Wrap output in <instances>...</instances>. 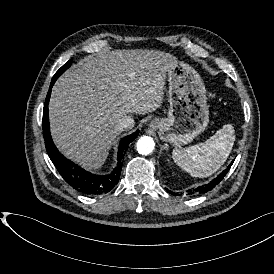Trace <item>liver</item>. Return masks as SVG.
I'll use <instances>...</instances> for the list:
<instances>
[{
	"mask_svg": "<svg viewBox=\"0 0 274 274\" xmlns=\"http://www.w3.org/2000/svg\"><path fill=\"white\" fill-rule=\"evenodd\" d=\"M176 58L155 50H119L87 56L52 89L53 138L60 150L89 170L106 160L117 119L159 110Z\"/></svg>",
	"mask_w": 274,
	"mask_h": 274,
	"instance_id": "obj_1",
	"label": "liver"
}]
</instances>
